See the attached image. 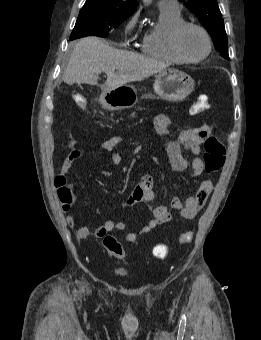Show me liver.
Returning <instances> with one entry per match:
<instances>
[{
  "label": "liver",
  "instance_id": "6515ba94",
  "mask_svg": "<svg viewBox=\"0 0 261 340\" xmlns=\"http://www.w3.org/2000/svg\"><path fill=\"white\" fill-rule=\"evenodd\" d=\"M167 65L138 53L115 49L100 38L80 39L74 46L63 80L69 85H98L99 74L107 79L103 88H114L143 79L166 69Z\"/></svg>",
  "mask_w": 261,
  "mask_h": 340
}]
</instances>
